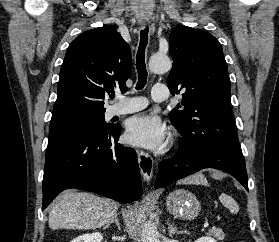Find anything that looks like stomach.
Instances as JSON below:
<instances>
[{
	"label": "stomach",
	"mask_w": 279,
	"mask_h": 242,
	"mask_svg": "<svg viewBox=\"0 0 279 242\" xmlns=\"http://www.w3.org/2000/svg\"><path fill=\"white\" fill-rule=\"evenodd\" d=\"M166 207L175 217L186 220L194 219L201 210L197 197L184 189L171 192L166 198Z\"/></svg>",
	"instance_id": "stomach-1"
}]
</instances>
